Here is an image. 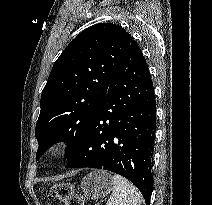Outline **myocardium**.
<instances>
[{
  "label": "myocardium",
  "mask_w": 212,
  "mask_h": 205,
  "mask_svg": "<svg viewBox=\"0 0 212 205\" xmlns=\"http://www.w3.org/2000/svg\"><path fill=\"white\" fill-rule=\"evenodd\" d=\"M52 153H54V154L57 153V149H54V150L52 151Z\"/></svg>",
  "instance_id": "f54148a6"
}]
</instances>
